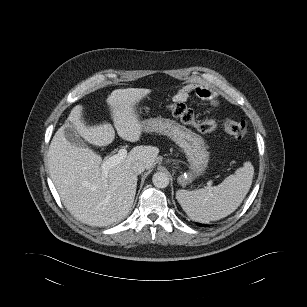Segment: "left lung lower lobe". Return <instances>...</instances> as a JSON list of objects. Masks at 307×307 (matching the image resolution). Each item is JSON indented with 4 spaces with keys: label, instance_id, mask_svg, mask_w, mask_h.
I'll return each mask as SVG.
<instances>
[{
    "label": "left lung lower lobe",
    "instance_id": "1",
    "mask_svg": "<svg viewBox=\"0 0 307 307\" xmlns=\"http://www.w3.org/2000/svg\"><path fill=\"white\" fill-rule=\"evenodd\" d=\"M200 227H207L208 225H202V224H199V223H197Z\"/></svg>",
    "mask_w": 307,
    "mask_h": 307
}]
</instances>
